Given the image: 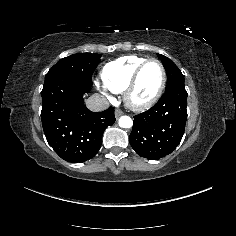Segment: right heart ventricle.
<instances>
[{
	"instance_id": "obj_1",
	"label": "right heart ventricle",
	"mask_w": 236,
	"mask_h": 236,
	"mask_svg": "<svg viewBox=\"0 0 236 236\" xmlns=\"http://www.w3.org/2000/svg\"><path fill=\"white\" fill-rule=\"evenodd\" d=\"M146 59L142 56L127 55L108 62L100 72L103 86L112 93H122L135 69Z\"/></svg>"
}]
</instances>
